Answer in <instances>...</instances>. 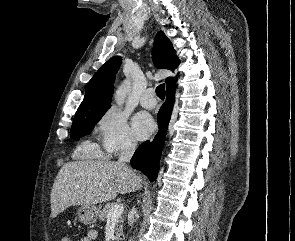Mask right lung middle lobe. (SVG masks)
Returning <instances> with one entry per match:
<instances>
[{"label":"right lung middle lobe","mask_w":295,"mask_h":241,"mask_svg":"<svg viewBox=\"0 0 295 241\" xmlns=\"http://www.w3.org/2000/svg\"><path fill=\"white\" fill-rule=\"evenodd\" d=\"M109 108L110 104L91 110H78L72 124L71 138L78 139L89 134Z\"/></svg>","instance_id":"1"}]
</instances>
